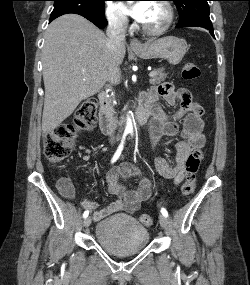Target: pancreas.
<instances>
[{
    "label": "pancreas",
    "instance_id": "pancreas-1",
    "mask_svg": "<svg viewBox=\"0 0 250 285\" xmlns=\"http://www.w3.org/2000/svg\"><path fill=\"white\" fill-rule=\"evenodd\" d=\"M154 72H156V75L149 79L150 84H159L167 78V74L163 71V69H155ZM108 110L113 112L111 100L108 102Z\"/></svg>",
    "mask_w": 250,
    "mask_h": 285
}]
</instances>
